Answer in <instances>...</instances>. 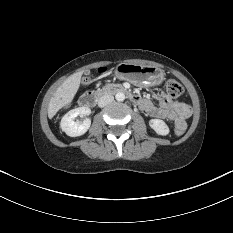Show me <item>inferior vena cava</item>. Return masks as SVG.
Segmentation results:
<instances>
[{
    "mask_svg": "<svg viewBox=\"0 0 233 233\" xmlns=\"http://www.w3.org/2000/svg\"><path fill=\"white\" fill-rule=\"evenodd\" d=\"M114 100V97L112 95H103L98 100V106L99 107H105L106 105L112 103Z\"/></svg>",
    "mask_w": 233,
    "mask_h": 233,
    "instance_id": "1",
    "label": "inferior vena cava"
}]
</instances>
